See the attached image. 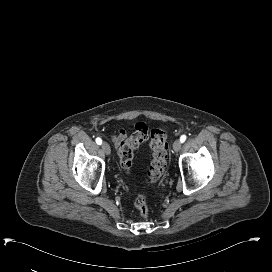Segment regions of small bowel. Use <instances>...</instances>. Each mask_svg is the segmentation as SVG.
Wrapping results in <instances>:
<instances>
[{"label": "small bowel", "instance_id": "1", "mask_svg": "<svg viewBox=\"0 0 272 272\" xmlns=\"http://www.w3.org/2000/svg\"><path fill=\"white\" fill-rule=\"evenodd\" d=\"M126 138L127 132L123 128L119 129L117 133L112 136V140L116 144V146H119L121 142L126 140Z\"/></svg>", "mask_w": 272, "mask_h": 272}]
</instances>
